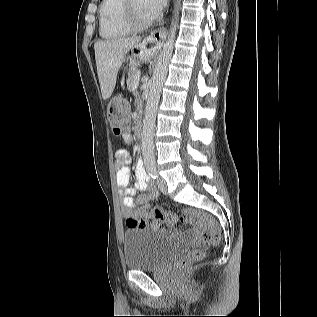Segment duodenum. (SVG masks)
<instances>
[{
  "mask_svg": "<svg viewBox=\"0 0 317 317\" xmlns=\"http://www.w3.org/2000/svg\"><path fill=\"white\" fill-rule=\"evenodd\" d=\"M136 132L137 136L140 138L142 136V126L140 124L136 126Z\"/></svg>",
  "mask_w": 317,
  "mask_h": 317,
  "instance_id": "duodenum-1",
  "label": "duodenum"
}]
</instances>
